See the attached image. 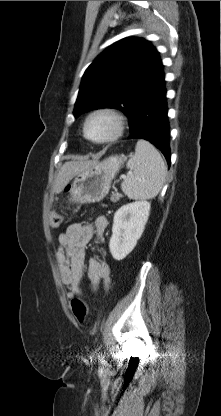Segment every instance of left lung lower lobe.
Masks as SVG:
<instances>
[{
	"instance_id": "obj_1",
	"label": "left lung lower lobe",
	"mask_w": 221,
	"mask_h": 416,
	"mask_svg": "<svg viewBox=\"0 0 221 416\" xmlns=\"http://www.w3.org/2000/svg\"><path fill=\"white\" fill-rule=\"evenodd\" d=\"M166 103L164 73L156 85L139 102L130 123L128 139H145L155 145L165 156L168 166L171 164L169 146V122Z\"/></svg>"
}]
</instances>
